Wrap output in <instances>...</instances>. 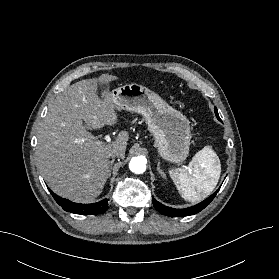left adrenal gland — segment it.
I'll use <instances>...</instances> for the list:
<instances>
[{
  "mask_svg": "<svg viewBox=\"0 0 279 279\" xmlns=\"http://www.w3.org/2000/svg\"><path fill=\"white\" fill-rule=\"evenodd\" d=\"M157 171L163 178H166L165 173L160 168V161H158V163H157Z\"/></svg>",
  "mask_w": 279,
  "mask_h": 279,
  "instance_id": "1",
  "label": "left adrenal gland"
}]
</instances>
